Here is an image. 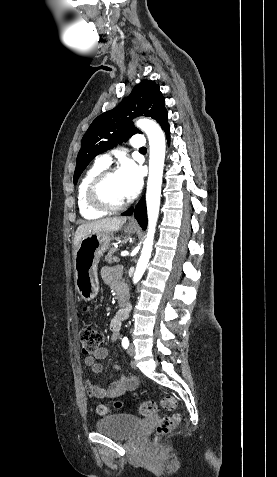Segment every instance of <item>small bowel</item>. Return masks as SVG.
Instances as JSON below:
<instances>
[{
    "label": "small bowel",
    "mask_w": 277,
    "mask_h": 477,
    "mask_svg": "<svg viewBox=\"0 0 277 477\" xmlns=\"http://www.w3.org/2000/svg\"><path fill=\"white\" fill-rule=\"evenodd\" d=\"M122 274V269L120 266H105L101 270L102 280L112 286L118 293L124 290V287L119 282V279ZM126 317V314L118 312L110 322V331H111V341L115 342L120 334L122 320ZM108 355V350L104 347L99 348L93 355L86 356L84 363L90 370L95 373H101L103 366L98 360L105 359ZM114 370L118 372V377H116L109 385L107 389L102 388L93 382L87 380L85 382V387L88 392V395L96 399H113L118 396H121L127 392L133 391L138 385L137 377L133 375H126L122 372L119 366H114Z\"/></svg>",
    "instance_id": "1"
}]
</instances>
